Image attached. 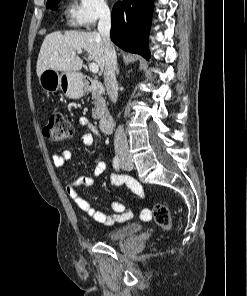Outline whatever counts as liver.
Wrapping results in <instances>:
<instances>
[{"label": "liver", "instance_id": "6515ba94", "mask_svg": "<svg viewBox=\"0 0 247 296\" xmlns=\"http://www.w3.org/2000/svg\"><path fill=\"white\" fill-rule=\"evenodd\" d=\"M86 51L104 70V44L101 35L96 32L56 31L46 35L37 59L36 71L39 76L44 70L76 72L83 66L78 54Z\"/></svg>", "mask_w": 247, "mask_h": 296}]
</instances>
